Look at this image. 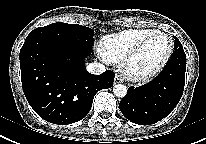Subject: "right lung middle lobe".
I'll list each match as a JSON object with an SVG mask.
<instances>
[{
  "mask_svg": "<svg viewBox=\"0 0 206 144\" xmlns=\"http://www.w3.org/2000/svg\"><path fill=\"white\" fill-rule=\"evenodd\" d=\"M94 31L85 26L67 23H52L45 27L34 29L25 41L35 38H48L62 41L92 50Z\"/></svg>",
  "mask_w": 206,
  "mask_h": 144,
  "instance_id": "obj_1",
  "label": "right lung middle lobe"
}]
</instances>
